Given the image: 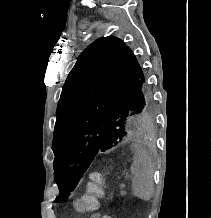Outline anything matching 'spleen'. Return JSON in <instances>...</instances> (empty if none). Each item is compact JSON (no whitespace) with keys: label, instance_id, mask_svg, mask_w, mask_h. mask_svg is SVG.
Instances as JSON below:
<instances>
[{"label":"spleen","instance_id":"1","mask_svg":"<svg viewBox=\"0 0 211 218\" xmlns=\"http://www.w3.org/2000/svg\"><path fill=\"white\" fill-rule=\"evenodd\" d=\"M130 170L134 196L140 200H150L154 190L152 166L141 150H137Z\"/></svg>","mask_w":211,"mask_h":218}]
</instances>
